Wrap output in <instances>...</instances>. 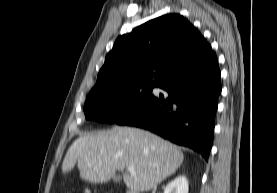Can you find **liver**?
<instances>
[{
	"instance_id": "6515ba94",
	"label": "liver",
	"mask_w": 277,
	"mask_h": 193,
	"mask_svg": "<svg viewBox=\"0 0 277 193\" xmlns=\"http://www.w3.org/2000/svg\"><path fill=\"white\" fill-rule=\"evenodd\" d=\"M183 159L177 146L149 131L114 126L76 139L64 157L62 172L77 164L82 179L105 183L119 170L127 188L147 192L174 174ZM129 166L134 173L125 172Z\"/></svg>"
}]
</instances>
